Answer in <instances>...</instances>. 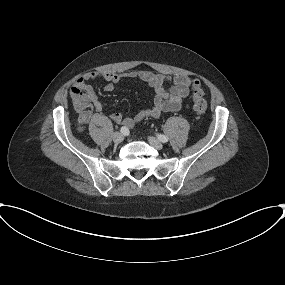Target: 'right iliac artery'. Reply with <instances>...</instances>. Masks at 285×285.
Returning <instances> with one entry per match:
<instances>
[{
	"instance_id": "obj_1",
	"label": "right iliac artery",
	"mask_w": 285,
	"mask_h": 285,
	"mask_svg": "<svg viewBox=\"0 0 285 285\" xmlns=\"http://www.w3.org/2000/svg\"><path fill=\"white\" fill-rule=\"evenodd\" d=\"M120 131L121 133L126 134L128 132V129L126 127H121Z\"/></svg>"
}]
</instances>
